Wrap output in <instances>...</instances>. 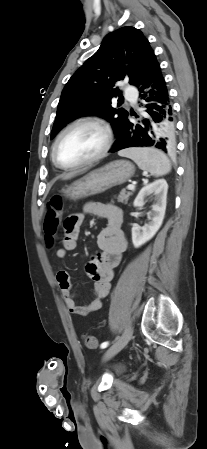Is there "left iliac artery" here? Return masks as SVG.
Instances as JSON below:
<instances>
[{
  "label": "left iliac artery",
  "mask_w": 207,
  "mask_h": 449,
  "mask_svg": "<svg viewBox=\"0 0 207 449\" xmlns=\"http://www.w3.org/2000/svg\"><path fill=\"white\" fill-rule=\"evenodd\" d=\"M108 345H109V342H103V343L101 344V348L104 349V348H106Z\"/></svg>",
  "instance_id": "obj_1"
}]
</instances>
